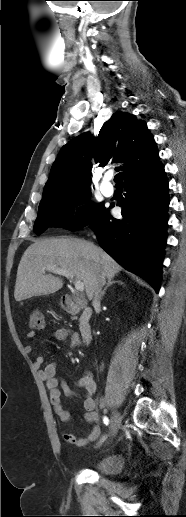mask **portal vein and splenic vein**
Segmentation results:
<instances>
[{
	"label": "portal vein and splenic vein",
	"instance_id": "18ae733b",
	"mask_svg": "<svg viewBox=\"0 0 186 517\" xmlns=\"http://www.w3.org/2000/svg\"><path fill=\"white\" fill-rule=\"evenodd\" d=\"M43 270L51 271V272H54L56 274L63 275L65 277H67L68 279H70L71 282L74 283L75 289L77 291H83L84 290V283L82 281H80V280H75L74 281V279H73L74 276L72 275V273H70L67 270L60 269V268H58L56 266H47Z\"/></svg>",
	"mask_w": 186,
	"mask_h": 517
}]
</instances>
